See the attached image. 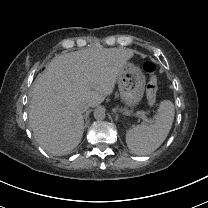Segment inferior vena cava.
<instances>
[{"instance_id": "inferior-vena-cava-1", "label": "inferior vena cava", "mask_w": 208, "mask_h": 208, "mask_svg": "<svg viewBox=\"0 0 208 208\" xmlns=\"http://www.w3.org/2000/svg\"><path fill=\"white\" fill-rule=\"evenodd\" d=\"M89 108V104L87 102H81L79 104V110L81 112H85Z\"/></svg>"}]
</instances>
